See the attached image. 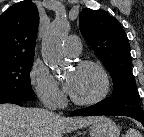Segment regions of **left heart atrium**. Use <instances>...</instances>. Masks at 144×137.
Masks as SVG:
<instances>
[{"label":"left heart atrium","mask_w":144,"mask_h":137,"mask_svg":"<svg viewBox=\"0 0 144 137\" xmlns=\"http://www.w3.org/2000/svg\"><path fill=\"white\" fill-rule=\"evenodd\" d=\"M73 88V83L71 80H66L65 82V89L71 94Z\"/></svg>","instance_id":"1"}]
</instances>
